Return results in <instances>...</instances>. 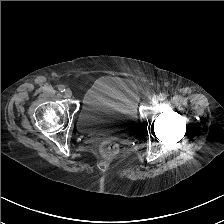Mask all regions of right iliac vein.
<instances>
[{
    "mask_svg": "<svg viewBox=\"0 0 224 224\" xmlns=\"http://www.w3.org/2000/svg\"><path fill=\"white\" fill-rule=\"evenodd\" d=\"M64 95L65 97L67 98H70L72 96V91L70 89H67L65 92H64Z\"/></svg>",
    "mask_w": 224,
    "mask_h": 224,
    "instance_id": "right-iliac-vein-1",
    "label": "right iliac vein"
}]
</instances>
